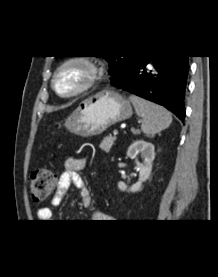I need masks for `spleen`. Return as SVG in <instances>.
Here are the masks:
<instances>
[{
  "mask_svg": "<svg viewBox=\"0 0 218 277\" xmlns=\"http://www.w3.org/2000/svg\"><path fill=\"white\" fill-rule=\"evenodd\" d=\"M129 99L142 118L141 129L147 136L152 137L170 126L172 115L165 108L136 95H130Z\"/></svg>",
  "mask_w": 218,
  "mask_h": 277,
  "instance_id": "1",
  "label": "spleen"
}]
</instances>
